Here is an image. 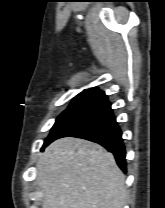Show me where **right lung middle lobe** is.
Here are the masks:
<instances>
[{
    "label": "right lung middle lobe",
    "mask_w": 165,
    "mask_h": 208,
    "mask_svg": "<svg viewBox=\"0 0 165 208\" xmlns=\"http://www.w3.org/2000/svg\"><path fill=\"white\" fill-rule=\"evenodd\" d=\"M89 107H68L62 112L56 119L54 126L51 129V133L44 142L43 149L52 141H54L59 135H61L68 127L79 120L81 117L91 111Z\"/></svg>",
    "instance_id": "1"
}]
</instances>
